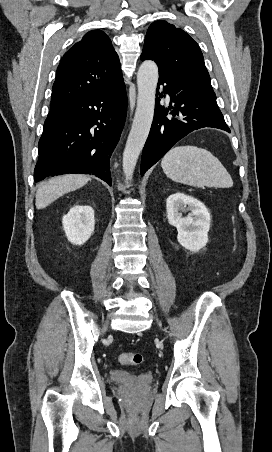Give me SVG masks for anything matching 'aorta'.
Returning a JSON list of instances; mask_svg holds the SVG:
<instances>
[{
  "label": "aorta",
  "instance_id": "aorta-1",
  "mask_svg": "<svg viewBox=\"0 0 272 452\" xmlns=\"http://www.w3.org/2000/svg\"><path fill=\"white\" fill-rule=\"evenodd\" d=\"M158 78L156 63L152 60L143 61L137 73V108L123 152V171L127 182L132 180L138 157L151 128Z\"/></svg>",
  "mask_w": 272,
  "mask_h": 452
}]
</instances>
